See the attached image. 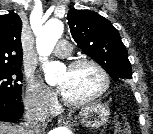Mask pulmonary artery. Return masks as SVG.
Here are the masks:
<instances>
[{
    "label": "pulmonary artery",
    "instance_id": "e3ab8cb5",
    "mask_svg": "<svg viewBox=\"0 0 153 134\" xmlns=\"http://www.w3.org/2000/svg\"><path fill=\"white\" fill-rule=\"evenodd\" d=\"M71 52V45L66 40H60L54 50V54L59 57H65Z\"/></svg>",
    "mask_w": 153,
    "mask_h": 134
}]
</instances>
